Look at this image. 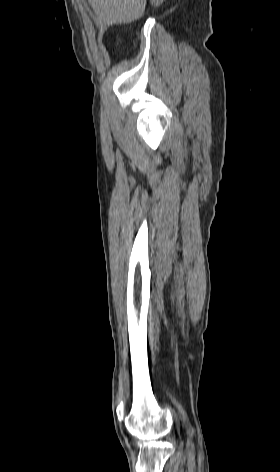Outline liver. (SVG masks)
<instances>
[{
  "mask_svg": "<svg viewBox=\"0 0 280 472\" xmlns=\"http://www.w3.org/2000/svg\"><path fill=\"white\" fill-rule=\"evenodd\" d=\"M88 2L96 13L100 25L131 23L143 15L146 5V0H88Z\"/></svg>",
  "mask_w": 280,
  "mask_h": 472,
  "instance_id": "obj_1",
  "label": "liver"
}]
</instances>
